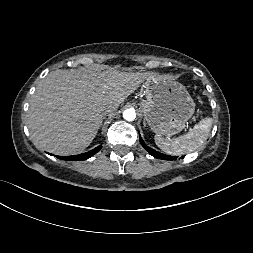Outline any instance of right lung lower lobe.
<instances>
[{
    "instance_id": "1",
    "label": "right lung lower lobe",
    "mask_w": 253,
    "mask_h": 253,
    "mask_svg": "<svg viewBox=\"0 0 253 253\" xmlns=\"http://www.w3.org/2000/svg\"><path fill=\"white\" fill-rule=\"evenodd\" d=\"M102 148V146H98L96 148H94L93 150L86 152V153H82L79 155H73V156H57L59 159H63V160H68V161H81V160H85L90 158L91 156H93L94 154H96L100 149Z\"/></svg>"
}]
</instances>
